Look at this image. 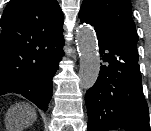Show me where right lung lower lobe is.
Segmentation results:
<instances>
[{
    "mask_svg": "<svg viewBox=\"0 0 151 131\" xmlns=\"http://www.w3.org/2000/svg\"><path fill=\"white\" fill-rule=\"evenodd\" d=\"M63 45L64 40L50 47L47 52V61L41 70L15 83L4 92H0V96L7 93L19 94L33 102L41 110L46 111L52 97V78L64 55Z\"/></svg>",
    "mask_w": 151,
    "mask_h": 131,
    "instance_id": "1",
    "label": "right lung lower lobe"
}]
</instances>
